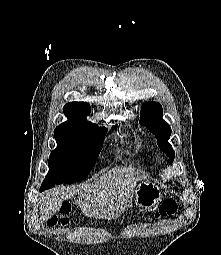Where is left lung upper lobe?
Wrapping results in <instances>:
<instances>
[{"mask_svg":"<svg viewBox=\"0 0 221 255\" xmlns=\"http://www.w3.org/2000/svg\"><path fill=\"white\" fill-rule=\"evenodd\" d=\"M141 123L146 126L157 138L160 149L169 157V163L174 160V150L168 143L171 135V128L162 119L163 110L157 102H145L141 108Z\"/></svg>","mask_w":221,"mask_h":255,"instance_id":"1","label":"left lung upper lobe"}]
</instances>
